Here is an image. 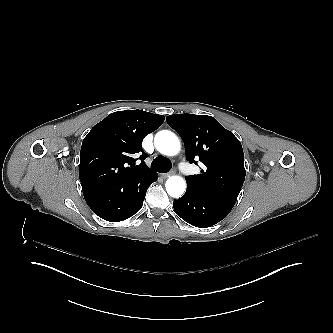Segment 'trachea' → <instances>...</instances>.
I'll use <instances>...</instances> for the list:
<instances>
[{"mask_svg":"<svg viewBox=\"0 0 333 333\" xmlns=\"http://www.w3.org/2000/svg\"><path fill=\"white\" fill-rule=\"evenodd\" d=\"M171 167H172V163L168 159H166L162 156L156 157L152 161V164H151V168L160 173L169 172Z\"/></svg>","mask_w":333,"mask_h":333,"instance_id":"1","label":"trachea"}]
</instances>
